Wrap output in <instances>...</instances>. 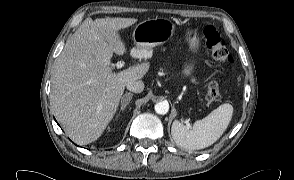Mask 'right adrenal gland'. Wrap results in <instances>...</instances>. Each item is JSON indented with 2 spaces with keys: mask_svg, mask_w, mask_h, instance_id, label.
I'll use <instances>...</instances> for the list:
<instances>
[{
  "mask_svg": "<svg viewBox=\"0 0 294 180\" xmlns=\"http://www.w3.org/2000/svg\"><path fill=\"white\" fill-rule=\"evenodd\" d=\"M133 97L132 93H125L121 98V110H124L130 103Z\"/></svg>",
  "mask_w": 294,
  "mask_h": 180,
  "instance_id": "1",
  "label": "right adrenal gland"
}]
</instances>
